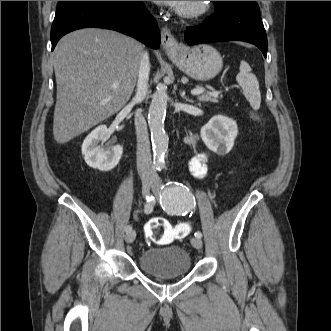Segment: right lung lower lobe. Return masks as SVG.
Instances as JSON below:
<instances>
[{
  "mask_svg": "<svg viewBox=\"0 0 331 331\" xmlns=\"http://www.w3.org/2000/svg\"><path fill=\"white\" fill-rule=\"evenodd\" d=\"M116 30L157 49L160 31L141 1H61L51 28L52 50L65 34L81 28Z\"/></svg>",
  "mask_w": 331,
  "mask_h": 331,
  "instance_id": "1",
  "label": "right lung lower lobe"
}]
</instances>
